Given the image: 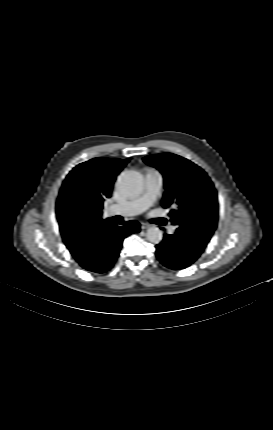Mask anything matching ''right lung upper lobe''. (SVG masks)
<instances>
[{"mask_svg": "<svg viewBox=\"0 0 273 430\" xmlns=\"http://www.w3.org/2000/svg\"><path fill=\"white\" fill-rule=\"evenodd\" d=\"M129 159L94 158L73 168L65 178L56 204V213L65 245L74 256L86 248L92 229L101 223L103 201L111 196L116 176ZM75 198L83 199L92 209V216L81 227L66 225L64 208Z\"/></svg>", "mask_w": 273, "mask_h": 430, "instance_id": "cb5924a9", "label": "right lung upper lobe"}]
</instances>
